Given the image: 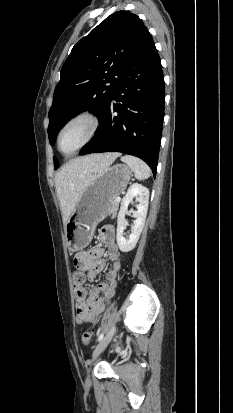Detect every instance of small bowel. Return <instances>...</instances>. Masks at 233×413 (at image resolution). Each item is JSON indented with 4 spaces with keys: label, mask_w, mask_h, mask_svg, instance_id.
I'll return each mask as SVG.
<instances>
[{
    "label": "small bowel",
    "mask_w": 233,
    "mask_h": 413,
    "mask_svg": "<svg viewBox=\"0 0 233 413\" xmlns=\"http://www.w3.org/2000/svg\"><path fill=\"white\" fill-rule=\"evenodd\" d=\"M101 245L88 252L76 255L75 264L87 272L88 278L93 280L106 266L103 256L112 263L104 280L98 287L90 290L80 288L75 290L77 315L76 321L82 323H95L104 311L114 294L116 279L121 268L120 253L115 242V229L111 225L103 227L99 234Z\"/></svg>",
    "instance_id": "obj_1"
}]
</instances>
